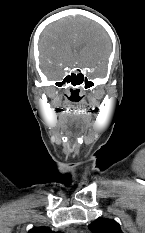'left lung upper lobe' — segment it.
<instances>
[{
  "label": "left lung upper lobe",
  "instance_id": "left-lung-upper-lobe-1",
  "mask_svg": "<svg viewBox=\"0 0 145 233\" xmlns=\"http://www.w3.org/2000/svg\"><path fill=\"white\" fill-rule=\"evenodd\" d=\"M88 227L93 233H123L116 221L107 218L97 219Z\"/></svg>",
  "mask_w": 145,
  "mask_h": 233
}]
</instances>
